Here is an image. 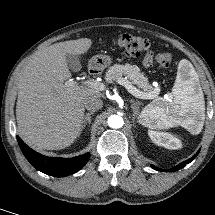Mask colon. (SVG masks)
<instances>
[{
  "label": "colon",
  "instance_id": "obj_1",
  "mask_svg": "<svg viewBox=\"0 0 215 215\" xmlns=\"http://www.w3.org/2000/svg\"><path fill=\"white\" fill-rule=\"evenodd\" d=\"M114 43L129 57H139L149 47L146 39L130 34L118 35ZM173 58L172 53L164 52L157 56V62L161 67L168 68L172 64Z\"/></svg>",
  "mask_w": 215,
  "mask_h": 215
}]
</instances>
